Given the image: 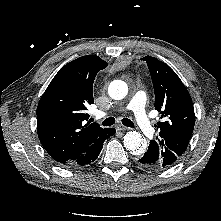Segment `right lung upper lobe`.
Here are the masks:
<instances>
[{
	"label": "right lung upper lobe",
	"instance_id": "obj_1",
	"mask_svg": "<svg viewBox=\"0 0 221 221\" xmlns=\"http://www.w3.org/2000/svg\"><path fill=\"white\" fill-rule=\"evenodd\" d=\"M107 62L94 55L77 58L62 67L37 106V131L42 146L57 162L75 160L105 129L88 121L94 103L93 82Z\"/></svg>",
	"mask_w": 221,
	"mask_h": 221
}]
</instances>
